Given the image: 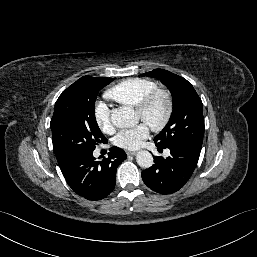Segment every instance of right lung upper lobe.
<instances>
[{"label": "right lung upper lobe", "mask_w": 257, "mask_h": 257, "mask_svg": "<svg viewBox=\"0 0 257 257\" xmlns=\"http://www.w3.org/2000/svg\"><path fill=\"white\" fill-rule=\"evenodd\" d=\"M68 160H58L60 168L64 167L67 164Z\"/></svg>", "instance_id": "cb5924a9"}]
</instances>
